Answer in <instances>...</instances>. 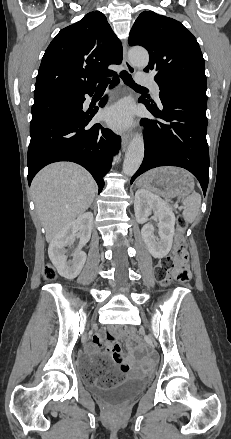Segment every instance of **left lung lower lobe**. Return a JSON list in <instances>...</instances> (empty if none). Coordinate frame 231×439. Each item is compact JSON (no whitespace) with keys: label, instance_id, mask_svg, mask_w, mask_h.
<instances>
[{"label":"left lung lower lobe","instance_id":"obj_1","mask_svg":"<svg viewBox=\"0 0 231 439\" xmlns=\"http://www.w3.org/2000/svg\"><path fill=\"white\" fill-rule=\"evenodd\" d=\"M160 104L140 98L158 119L143 118L145 156L131 179L159 166H178L190 171L205 195L209 180L207 96L205 91L175 88L160 91Z\"/></svg>","mask_w":231,"mask_h":439}]
</instances>
